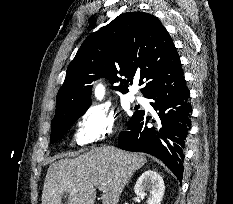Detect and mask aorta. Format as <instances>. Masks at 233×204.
Returning <instances> with one entry per match:
<instances>
[{
    "instance_id": "obj_1",
    "label": "aorta",
    "mask_w": 233,
    "mask_h": 204,
    "mask_svg": "<svg viewBox=\"0 0 233 204\" xmlns=\"http://www.w3.org/2000/svg\"><path fill=\"white\" fill-rule=\"evenodd\" d=\"M95 96L98 100H101L104 97V87L101 84L95 87Z\"/></svg>"
}]
</instances>
